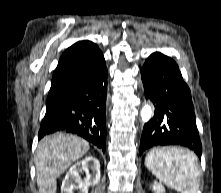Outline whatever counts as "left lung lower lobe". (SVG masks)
<instances>
[{"mask_svg":"<svg viewBox=\"0 0 221 193\" xmlns=\"http://www.w3.org/2000/svg\"><path fill=\"white\" fill-rule=\"evenodd\" d=\"M141 77L145 96L155 106V115L144 125L139 154L154 146L180 145L193 150L201 158L202 145L191 93L177 64L166 55L153 53L141 69ZM168 107L176 115L173 127L164 121L163 111Z\"/></svg>","mask_w":221,"mask_h":193,"instance_id":"left-lung-lower-lobe-1","label":"left lung lower lobe"}]
</instances>
